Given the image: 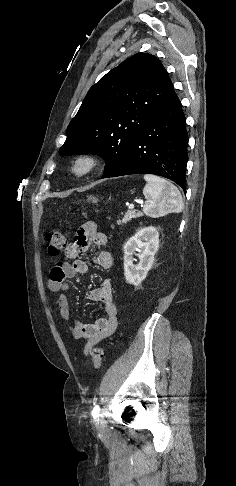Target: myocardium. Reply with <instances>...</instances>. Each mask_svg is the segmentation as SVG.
<instances>
[{
    "label": "myocardium",
    "instance_id": "f54148a6",
    "mask_svg": "<svg viewBox=\"0 0 236 486\" xmlns=\"http://www.w3.org/2000/svg\"><path fill=\"white\" fill-rule=\"evenodd\" d=\"M100 165L101 158L99 155L86 152L76 155L70 162L68 170L72 177L81 179L93 174Z\"/></svg>",
    "mask_w": 236,
    "mask_h": 486
}]
</instances>
